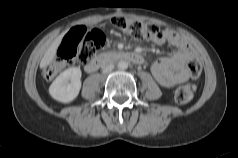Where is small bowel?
Segmentation results:
<instances>
[{
    "label": "small bowel",
    "mask_w": 238,
    "mask_h": 158,
    "mask_svg": "<svg viewBox=\"0 0 238 158\" xmlns=\"http://www.w3.org/2000/svg\"><path fill=\"white\" fill-rule=\"evenodd\" d=\"M162 45L168 43L176 51L168 57H161L151 65V72L163 87H174L189 79L186 63L196 55L195 50L176 32L164 30L162 35L153 40Z\"/></svg>",
    "instance_id": "1"
}]
</instances>
